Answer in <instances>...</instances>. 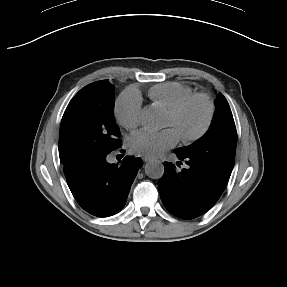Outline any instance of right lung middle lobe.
Here are the masks:
<instances>
[{
	"instance_id": "1",
	"label": "right lung middle lobe",
	"mask_w": 287,
	"mask_h": 287,
	"mask_svg": "<svg viewBox=\"0 0 287 287\" xmlns=\"http://www.w3.org/2000/svg\"><path fill=\"white\" fill-rule=\"evenodd\" d=\"M114 89L109 80L91 83L67 106L59 134V156L65 173L91 157L121 147L113 116Z\"/></svg>"
}]
</instances>
